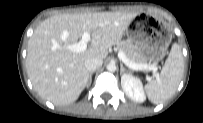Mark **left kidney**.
I'll return each instance as SVG.
<instances>
[{
	"instance_id": "5707ae66",
	"label": "left kidney",
	"mask_w": 203,
	"mask_h": 123,
	"mask_svg": "<svg viewBox=\"0 0 203 123\" xmlns=\"http://www.w3.org/2000/svg\"><path fill=\"white\" fill-rule=\"evenodd\" d=\"M121 86L125 94L133 101L139 103L145 101L146 96L140 79L131 74H123L121 76Z\"/></svg>"
}]
</instances>
